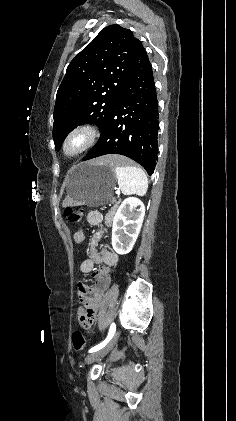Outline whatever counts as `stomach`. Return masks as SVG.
<instances>
[{"label":"stomach","mask_w":236,"mask_h":421,"mask_svg":"<svg viewBox=\"0 0 236 421\" xmlns=\"http://www.w3.org/2000/svg\"><path fill=\"white\" fill-rule=\"evenodd\" d=\"M116 178V170L110 164L80 162L69 172L68 196L73 204L101 206L111 200Z\"/></svg>","instance_id":"0dacf381"}]
</instances>
